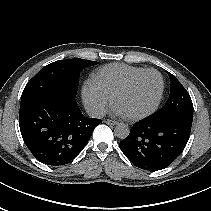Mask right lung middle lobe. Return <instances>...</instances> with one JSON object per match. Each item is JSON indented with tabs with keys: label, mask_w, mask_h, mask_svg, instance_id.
I'll list each match as a JSON object with an SVG mask.
<instances>
[{
	"label": "right lung middle lobe",
	"mask_w": 211,
	"mask_h": 211,
	"mask_svg": "<svg viewBox=\"0 0 211 211\" xmlns=\"http://www.w3.org/2000/svg\"><path fill=\"white\" fill-rule=\"evenodd\" d=\"M97 63L78 58L46 65L25 86L20 106L49 96L75 98L80 71Z\"/></svg>",
	"instance_id": "dd1d6c3e"
}]
</instances>
